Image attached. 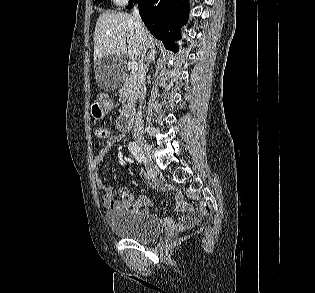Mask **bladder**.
Here are the masks:
<instances>
[{
	"label": "bladder",
	"mask_w": 315,
	"mask_h": 293,
	"mask_svg": "<svg viewBox=\"0 0 315 293\" xmlns=\"http://www.w3.org/2000/svg\"><path fill=\"white\" fill-rule=\"evenodd\" d=\"M106 221L114 234L139 242L152 241L162 233L160 223L154 217L130 208L108 211Z\"/></svg>",
	"instance_id": "1"
}]
</instances>
